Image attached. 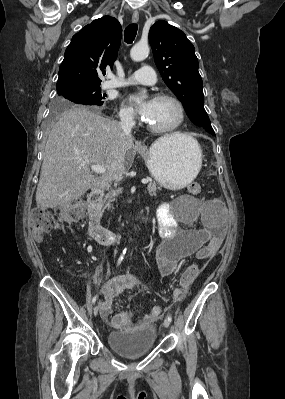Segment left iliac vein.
<instances>
[{
	"mask_svg": "<svg viewBox=\"0 0 285 399\" xmlns=\"http://www.w3.org/2000/svg\"><path fill=\"white\" fill-rule=\"evenodd\" d=\"M163 326L165 327V328H169V326H170V321L166 318V319H164V321H163Z\"/></svg>",
	"mask_w": 285,
	"mask_h": 399,
	"instance_id": "left-iliac-vein-1",
	"label": "left iliac vein"
}]
</instances>
